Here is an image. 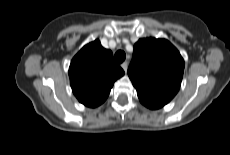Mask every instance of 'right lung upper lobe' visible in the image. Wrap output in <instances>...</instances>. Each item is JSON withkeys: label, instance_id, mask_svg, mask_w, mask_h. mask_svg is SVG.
Wrapping results in <instances>:
<instances>
[{"label": "right lung upper lobe", "instance_id": "right-lung-upper-lobe-1", "mask_svg": "<svg viewBox=\"0 0 230 155\" xmlns=\"http://www.w3.org/2000/svg\"><path fill=\"white\" fill-rule=\"evenodd\" d=\"M124 75L113 54L99 40L85 45L72 59L69 77L72 91L80 103L95 108L108 97L114 82Z\"/></svg>", "mask_w": 230, "mask_h": 155}]
</instances>
